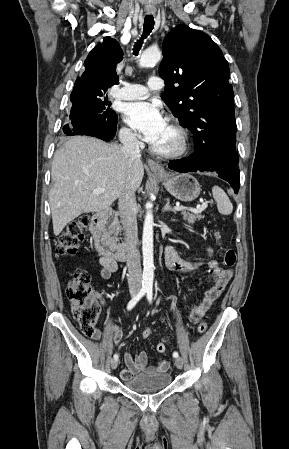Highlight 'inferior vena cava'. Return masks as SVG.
Instances as JSON below:
<instances>
[{"label":"inferior vena cava","instance_id":"602c4592","mask_svg":"<svg viewBox=\"0 0 289 449\" xmlns=\"http://www.w3.org/2000/svg\"><path fill=\"white\" fill-rule=\"evenodd\" d=\"M122 151L128 158L129 166L140 159L139 142L133 133H127L120 138ZM136 204L135 193L125 191L118 201V208L121 217L122 230L125 235V250L127 254L128 286L130 292H138L141 288V264L140 255L136 249L137 244V222L133 215V208Z\"/></svg>","mask_w":289,"mask_h":449}]
</instances>
